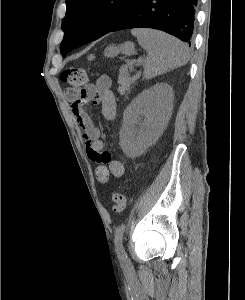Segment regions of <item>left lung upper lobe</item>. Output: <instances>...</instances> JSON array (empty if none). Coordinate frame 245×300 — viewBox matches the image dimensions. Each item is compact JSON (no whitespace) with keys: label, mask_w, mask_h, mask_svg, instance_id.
Here are the masks:
<instances>
[{"label":"left lung upper lobe","mask_w":245,"mask_h":300,"mask_svg":"<svg viewBox=\"0 0 245 300\" xmlns=\"http://www.w3.org/2000/svg\"><path fill=\"white\" fill-rule=\"evenodd\" d=\"M136 0H66V15L62 20L64 38L60 44L62 55L105 35L129 11ZM101 26H94L102 17Z\"/></svg>","instance_id":"1"}]
</instances>
